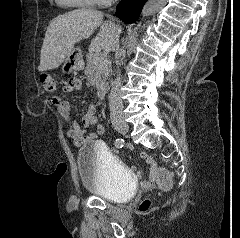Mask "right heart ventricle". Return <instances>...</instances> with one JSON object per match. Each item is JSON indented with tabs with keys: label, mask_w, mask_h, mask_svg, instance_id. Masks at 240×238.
Instances as JSON below:
<instances>
[{
	"label": "right heart ventricle",
	"mask_w": 240,
	"mask_h": 238,
	"mask_svg": "<svg viewBox=\"0 0 240 238\" xmlns=\"http://www.w3.org/2000/svg\"><path fill=\"white\" fill-rule=\"evenodd\" d=\"M55 2L63 7L68 9L73 8H80L86 6L85 4L81 3L79 0H55Z\"/></svg>",
	"instance_id": "1"
}]
</instances>
